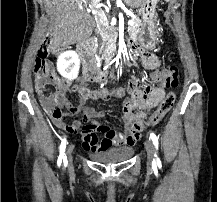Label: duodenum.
Instances as JSON below:
<instances>
[{
	"mask_svg": "<svg viewBox=\"0 0 217 202\" xmlns=\"http://www.w3.org/2000/svg\"><path fill=\"white\" fill-rule=\"evenodd\" d=\"M92 50V41L84 43L81 47L83 60V79L88 82H101L106 78L108 73L96 66Z\"/></svg>",
	"mask_w": 217,
	"mask_h": 202,
	"instance_id": "410a0bca",
	"label": "duodenum"
}]
</instances>
